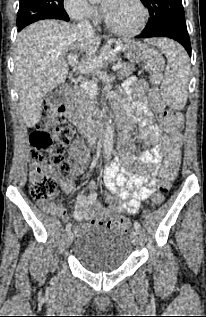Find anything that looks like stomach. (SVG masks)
I'll use <instances>...</instances> for the list:
<instances>
[{
    "mask_svg": "<svg viewBox=\"0 0 206 317\" xmlns=\"http://www.w3.org/2000/svg\"><path fill=\"white\" fill-rule=\"evenodd\" d=\"M125 56L128 58V62H131V66H143V62L152 57L153 49L144 43L140 42H128L123 46ZM104 56L100 55L97 59H83L82 64L86 67H79V74H92L99 65V61H104Z\"/></svg>",
    "mask_w": 206,
    "mask_h": 317,
    "instance_id": "obj_1",
    "label": "stomach"
}]
</instances>
